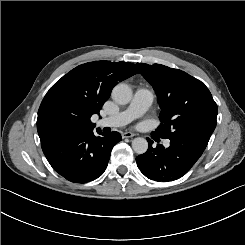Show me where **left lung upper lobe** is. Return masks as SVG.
<instances>
[{"label":"left lung upper lobe","instance_id":"1","mask_svg":"<svg viewBox=\"0 0 245 245\" xmlns=\"http://www.w3.org/2000/svg\"><path fill=\"white\" fill-rule=\"evenodd\" d=\"M137 67L154 88L161 108V124L154 134L206 147L218 112L208 88L178 69L143 63Z\"/></svg>","mask_w":245,"mask_h":245}]
</instances>
